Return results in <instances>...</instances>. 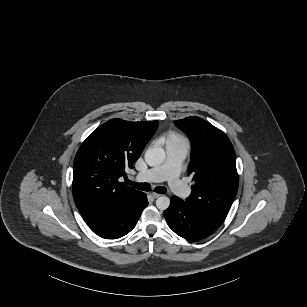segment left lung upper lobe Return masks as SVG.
Wrapping results in <instances>:
<instances>
[{
	"label": "left lung upper lobe",
	"mask_w": 307,
	"mask_h": 307,
	"mask_svg": "<svg viewBox=\"0 0 307 307\" xmlns=\"http://www.w3.org/2000/svg\"><path fill=\"white\" fill-rule=\"evenodd\" d=\"M191 141L189 173L195 185L187 204L201 215L222 224L238 189L234 148L223 131L199 117L175 121Z\"/></svg>",
	"instance_id": "5c2ea615"
}]
</instances>
